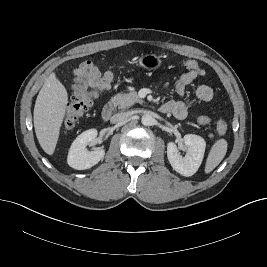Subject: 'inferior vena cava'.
<instances>
[{
    "label": "inferior vena cava",
    "mask_w": 267,
    "mask_h": 267,
    "mask_svg": "<svg viewBox=\"0 0 267 267\" xmlns=\"http://www.w3.org/2000/svg\"><path fill=\"white\" fill-rule=\"evenodd\" d=\"M128 117V115L126 113H117V114H114L111 119H110V122L115 124V123H120L124 120H126Z\"/></svg>",
    "instance_id": "602c4592"
}]
</instances>
